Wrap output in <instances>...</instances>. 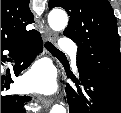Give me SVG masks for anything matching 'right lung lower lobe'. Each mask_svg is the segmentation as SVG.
<instances>
[{
  "mask_svg": "<svg viewBox=\"0 0 121 113\" xmlns=\"http://www.w3.org/2000/svg\"><path fill=\"white\" fill-rule=\"evenodd\" d=\"M4 50H9L11 57L16 56L15 53L23 52V57L18 58L14 65V73L18 76L29 67L35 55L42 51V39L40 34L35 32L18 42L1 47V62L6 60V56L2 54ZM10 83H13L10 75L5 79L1 78V92L8 90ZM29 101V96L1 95V113H25L24 105Z\"/></svg>",
  "mask_w": 121,
  "mask_h": 113,
  "instance_id": "right-lung-lower-lobe-1",
  "label": "right lung lower lobe"
}]
</instances>
